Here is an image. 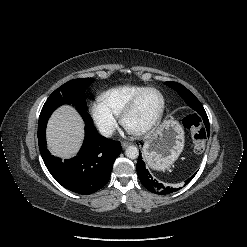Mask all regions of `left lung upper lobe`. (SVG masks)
Here are the masks:
<instances>
[{"mask_svg":"<svg viewBox=\"0 0 247 247\" xmlns=\"http://www.w3.org/2000/svg\"><path fill=\"white\" fill-rule=\"evenodd\" d=\"M170 88L176 90L179 95L185 100V102L195 110L202 118H206V112L200 103V101L195 97V95L189 91L186 87L182 84L176 82H166L165 83Z\"/></svg>","mask_w":247,"mask_h":247,"instance_id":"left-lung-upper-lobe-1","label":"left lung upper lobe"}]
</instances>
